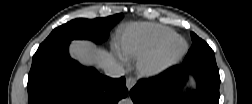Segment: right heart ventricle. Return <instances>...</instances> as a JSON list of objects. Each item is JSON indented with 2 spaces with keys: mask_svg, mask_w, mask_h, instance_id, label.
Returning <instances> with one entry per match:
<instances>
[{
  "mask_svg": "<svg viewBox=\"0 0 252 104\" xmlns=\"http://www.w3.org/2000/svg\"><path fill=\"white\" fill-rule=\"evenodd\" d=\"M176 35L175 31L154 23H135L117 41L118 50L127 59H136Z\"/></svg>",
  "mask_w": 252,
  "mask_h": 104,
  "instance_id": "obj_1",
  "label": "right heart ventricle"
}]
</instances>
